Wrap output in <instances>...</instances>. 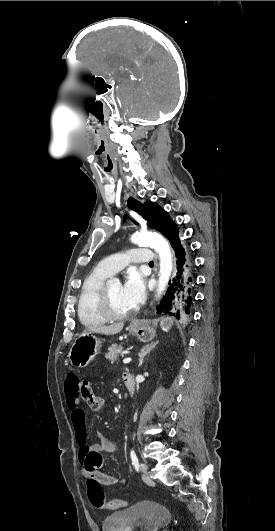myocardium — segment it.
Wrapping results in <instances>:
<instances>
[{
	"instance_id": "obj_1",
	"label": "myocardium",
	"mask_w": 275,
	"mask_h": 531,
	"mask_svg": "<svg viewBox=\"0 0 275 531\" xmlns=\"http://www.w3.org/2000/svg\"><path fill=\"white\" fill-rule=\"evenodd\" d=\"M98 306L101 312L105 315L107 319L111 320H122L129 317L133 310L127 313L118 314L116 313L111 305L110 292L108 290V282H103L100 287V293L98 297Z\"/></svg>"
}]
</instances>
